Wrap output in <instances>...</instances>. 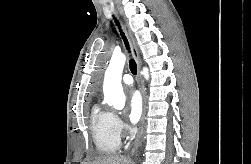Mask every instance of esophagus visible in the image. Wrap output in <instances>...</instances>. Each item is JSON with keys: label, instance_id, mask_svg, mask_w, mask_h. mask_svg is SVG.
Here are the masks:
<instances>
[{"label": "esophagus", "instance_id": "1", "mask_svg": "<svg viewBox=\"0 0 251 164\" xmlns=\"http://www.w3.org/2000/svg\"><path fill=\"white\" fill-rule=\"evenodd\" d=\"M122 27L124 29V32L127 35V38L130 43L132 55H133V57L136 61V64H137V79H138L139 89H140V93H141V97H142V107H143L139 131H138V134L134 140L132 150H131L132 155H134L137 152V150L140 147L141 142H142V136H143L144 125H145V115H146V99H145L144 87H143L141 73H140L141 72V58H140V52H139L138 46H137V43H136L135 38L133 36V33H132V31H131V29L125 19H122Z\"/></svg>", "mask_w": 251, "mask_h": 164}]
</instances>
